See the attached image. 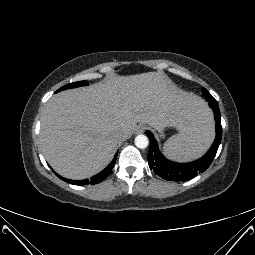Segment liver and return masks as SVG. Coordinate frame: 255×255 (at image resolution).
<instances>
[{
  "mask_svg": "<svg viewBox=\"0 0 255 255\" xmlns=\"http://www.w3.org/2000/svg\"><path fill=\"white\" fill-rule=\"evenodd\" d=\"M205 106L161 72L111 77L50 98L41 117L42 153L60 175L88 178L107 165L138 122L158 131L169 126L183 131ZM117 132L125 138L117 140Z\"/></svg>",
  "mask_w": 255,
  "mask_h": 255,
  "instance_id": "6515ba94",
  "label": "liver"
}]
</instances>
